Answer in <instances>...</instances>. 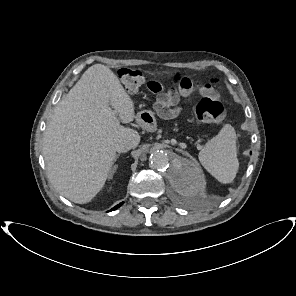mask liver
Listing matches in <instances>:
<instances>
[{"label": "liver", "mask_w": 296, "mask_h": 296, "mask_svg": "<svg viewBox=\"0 0 296 296\" xmlns=\"http://www.w3.org/2000/svg\"><path fill=\"white\" fill-rule=\"evenodd\" d=\"M119 119H135L134 103L113 71L95 64L57 104L44 134L49 180L62 196L91 201L111 171L115 144L126 139L137 147L139 133Z\"/></svg>", "instance_id": "obj_1"}]
</instances>
